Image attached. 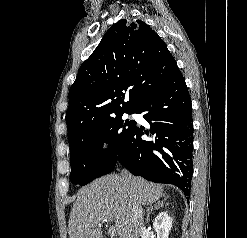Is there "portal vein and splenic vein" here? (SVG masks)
<instances>
[{
  "label": "portal vein and splenic vein",
  "instance_id": "obj_1",
  "mask_svg": "<svg viewBox=\"0 0 247 238\" xmlns=\"http://www.w3.org/2000/svg\"><path fill=\"white\" fill-rule=\"evenodd\" d=\"M112 218V215H110V217L107 219H102L100 222H104V221H108L109 219ZM116 232H117V229L116 227L114 226H110L109 229H108V233L111 235V236H115L116 235Z\"/></svg>",
  "mask_w": 247,
  "mask_h": 238
}]
</instances>
